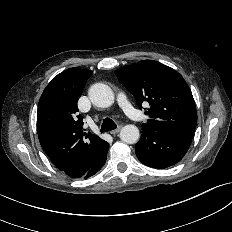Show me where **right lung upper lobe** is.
Here are the masks:
<instances>
[{
	"label": "right lung upper lobe",
	"mask_w": 232,
	"mask_h": 232,
	"mask_svg": "<svg viewBox=\"0 0 232 232\" xmlns=\"http://www.w3.org/2000/svg\"><path fill=\"white\" fill-rule=\"evenodd\" d=\"M90 70L70 68L44 89L38 105L37 132L41 146L54 165L73 178L83 177L103 156L109 144L82 130L80 98Z\"/></svg>",
	"instance_id": "right-lung-upper-lobe-1"
}]
</instances>
